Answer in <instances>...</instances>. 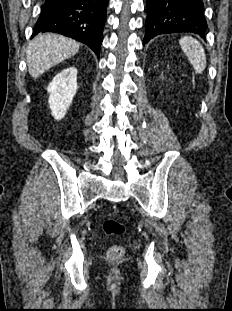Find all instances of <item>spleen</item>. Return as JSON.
<instances>
[{
	"mask_svg": "<svg viewBox=\"0 0 232 311\" xmlns=\"http://www.w3.org/2000/svg\"><path fill=\"white\" fill-rule=\"evenodd\" d=\"M180 46L193 65L196 73H202L206 67V55L203 46L193 37H183Z\"/></svg>",
	"mask_w": 232,
	"mask_h": 311,
	"instance_id": "obj_1",
	"label": "spleen"
}]
</instances>
